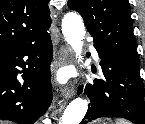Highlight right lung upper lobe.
Instances as JSON below:
<instances>
[{"label": "right lung upper lobe", "mask_w": 145, "mask_h": 124, "mask_svg": "<svg viewBox=\"0 0 145 124\" xmlns=\"http://www.w3.org/2000/svg\"><path fill=\"white\" fill-rule=\"evenodd\" d=\"M49 0H0V47L38 40L51 25Z\"/></svg>", "instance_id": "1"}]
</instances>
